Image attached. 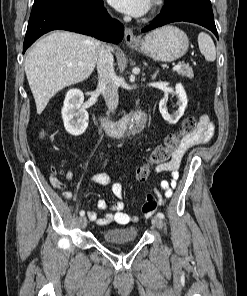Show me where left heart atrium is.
Here are the masks:
<instances>
[{
  "label": "left heart atrium",
  "mask_w": 247,
  "mask_h": 296,
  "mask_svg": "<svg viewBox=\"0 0 247 296\" xmlns=\"http://www.w3.org/2000/svg\"><path fill=\"white\" fill-rule=\"evenodd\" d=\"M108 1L118 11L134 17H139L144 15L148 11L151 3V0H108Z\"/></svg>",
  "instance_id": "left-heart-atrium-1"
}]
</instances>
